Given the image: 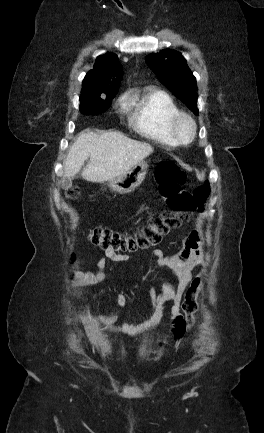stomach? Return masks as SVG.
Returning <instances> with one entry per match:
<instances>
[{"mask_svg": "<svg viewBox=\"0 0 264 433\" xmlns=\"http://www.w3.org/2000/svg\"><path fill=\"white\" fill-rule=\"evenodd\" d=\"M148 163L144 160L138 162L126 174L108 182V186L114 192L126 194L134 191L145 179Z\"/></svg>", "mask_w": 264, "mask_h": 433, "instance_id": "0dacf381", "label": "stomach"}]
</instances>
